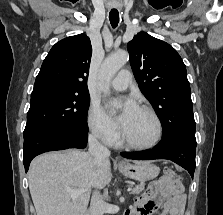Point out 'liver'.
Listing matches in <instances>:
<instances>
[{"label": "liver", "mask_w": 223, "mask_h": 215, "mask_svg": "<svg viewBox=\"0 0 223 215\" xmlns=\"http://www.w3.org/2000/svg\"><path fill=\"white\" fill-rule=\"evenodd\" d=\"M111 177L108 157H92L89 151L80 149L37 155L28 171L37 215H85L91 187H105ZM72 189L86 191L72 199Z\"/></svg>", "instance_id": "6515ba94"}]
</instances>
